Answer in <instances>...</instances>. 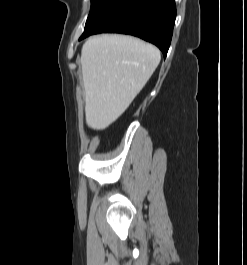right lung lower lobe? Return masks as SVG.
Listing matches in <instances>:
<instances>
[{"instance_id": "98d812e1", "label": "right lung lower lobe", "mask_w": 247, "mask_h": 265, "mask_svg": "<svg viewBox=\"0 0 247 265\" xmlns=\"http://www.w3.org/2000/svg\"><path fill=\"white\" fill-rule=\"evenodd\" d=\"M175 17L174 0H101L79 40L102 32L130 34L155 44L166 57Z\"/></svg>"}]
</instances>
